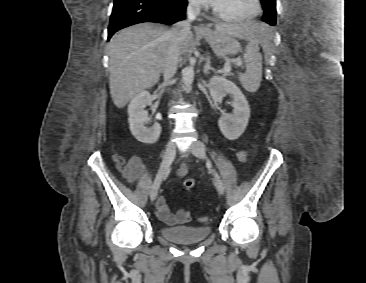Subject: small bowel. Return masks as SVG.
Instances as JSON below:
<instances>
[{
	"label": "small bowel",
	"instance_id": "obj_1",
	"mask_svg": "<svg viewBox=\"0 0 366 283\" xmlns=\"http://www.w3.org/2000/svg\"><path fill=\"white\" fill-rule=\"evenodd\" d=\"M238 157L241 160H244L246 157V152H239ZM113 160L115 162L117 170L121 172L123 178L129 183L136 182L143 174L144 165L141 157L138 155L130 157L128 161H126L120 155H114ZM186 173L187 167L183 164L178 168L177 176L182 177ZM156 209L158 217L169 225L183 224L187 222L190 218L189 212L185 210H179L176 214L171 213L164 197L158 198L156 202Z\"/></svg>",
	"mask_w": 366,
	"mask_h": 283
}]
</instances>
